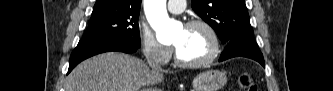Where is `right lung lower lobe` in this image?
<instances>
[{"label": "right lung lower lobe", "mask_w": 333, "mask_h": 91, "mask_svg": "<svg viewBox=\"0 0 333 91\" xmlns=\"http://www.w3.org/2000/svg\"><path fill=\"white\" fill-rule=\"evenodd\" d=\"M139 47L129 45L119 40H80L70 57L68 73L81 61L109 51H120L125 53L136 52Z\"/></svg>", "instance_id": "1"}]
</instances>
